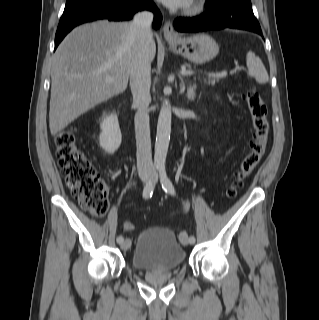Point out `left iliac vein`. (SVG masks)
Wrapping results in <instances>:
<instances>
[{"label": "left iliac vein", "mask_w": 319, "mask_h": 320, "mask_svg": "<svg viewBox=\"0 0 319 320\" xmlns=\"http://www.w3.org/2000/svg\"><path fill=\"white\" fill-rule=\"evenodd\" d=\"M157 180L156 177H154V182ZM180 241L182 242L183 245H188L189 241H188V236L186 232H182V234L180 235Z\"/></svg>", "instance_id": "4c4485c4"}]
</instances>
